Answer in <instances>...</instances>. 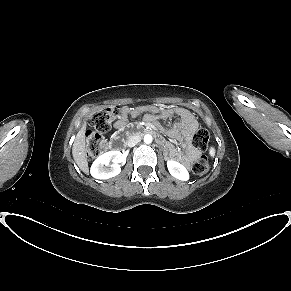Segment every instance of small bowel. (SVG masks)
I'll use <instances>...</instances> for the list:
<instances>
[{"mask_svg":"<svg viewBox=\"0 0 291 291\" xmlns=\"http://www.w3.org/2000/svg\"><path fill=\"white\" fill-rule=\"evenodd\" d=\"M153 112H157V108L151 109ZM147 111L146 107L139 106L136 108L124 107L122 109L121 118L114 124L115 129L121 130L125 127L127 123L128 116L137 117ZM179 123L168 130V134L182 142V150L174 147L173 145L166 146V154L168 158L176 161H180L185 165L195 160L199 152L191 145L190 138L198 129V121L193 116L192 112L184 108L177 109H164L161 111L162 118L173 117ZM144 119L146 122L154 124L156 126L160 125L159 116L154 113H145Z\"/></svg>","mask_w":291,"mask_h":291,"instance_id":"small-bowel-1","label":"small bowel"}]
</instances>
